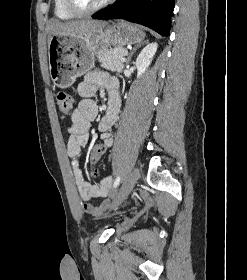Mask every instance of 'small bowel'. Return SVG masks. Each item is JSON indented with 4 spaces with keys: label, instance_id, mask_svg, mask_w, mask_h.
<instances>
[{
    "label": "small bowel",
    "instance_id": "1",
    "mask_svg": "<svg viewBox=\"0 0 247 280\" xmlns=\"http://www.w3.org/2000/svg\"><path fill=\"white\" fill-rule=\"evenodd\" d=\"M99 88H105L109 92L108 107L105 115L100 119L98 131L101 143L107 148L112 145L111 131L118 120L120 111V99L114 80L105 72L95 70L87 73L83 81L78 85V93L81 100L71 115V125L67 128L68 142L67 154L71 160V167L75 177L79 195L84 201V211L93 216L102 214L108 207L107 202L98 206L90 203L97 198H107L111 195L112 178L105 177L99 183H89L83 178L80 167V155L82 148L89 141V128L91 122L97 118L98 106L93 97Z\"/></svg>",
    "mask_w": 247,
    "mask_h": 280
}]
</instances>
